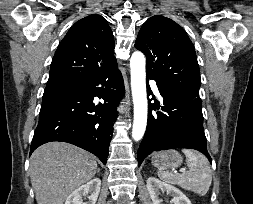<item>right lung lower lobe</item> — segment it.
<instances>
[{
	"label": "right lung lower lobe",
	"mask_w": 253,
	"mask_h": 204,
	"mask_svg": "<svg viewBox=\"0 0 253 204\" xmlns=\"http://www.w3.org/2000/svg\"><path fill=\"white\" fill-rule=\"evenodd\" d=\"M123 94L118 66L69 88L44 94L30 154L44 143L62 141L93 153L106 164L116 107ZM96 96L104 103L96 105Z\"/></svg>",
	"instance_id": "1"
}]
</instances>
